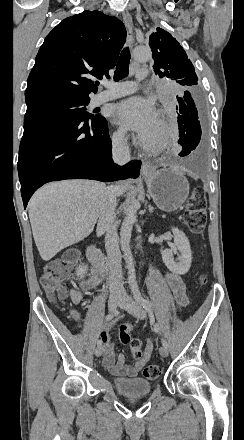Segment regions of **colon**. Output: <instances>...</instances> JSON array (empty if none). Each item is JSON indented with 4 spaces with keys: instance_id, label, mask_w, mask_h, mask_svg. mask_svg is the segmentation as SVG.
<instances>
[{
    "instance_id": "obj_1",
    "label": "colon",
    "mask_w": 244,
    "mask_h": 440,
    "mask_svg": "<svg viewBox=\"0 0 244 440\" xmlns=\"http://www.w3.org/2000/svg\"><path fill=\"white\" fill-rule=\"evenodd\" d=\"M207 220L206 213V199L204 190L197 187L193 190L190 197L189 207L186 210L185 221L192 233H200L203 231ZM66 257L62 260H54L50 262L40 277V284L45 292L52 298L63 299L67 296V291L64 289V281L73 271L74 261L77 259L78 251L75 248H67L65 251ZM200 282H204L201 278ZM71 313L77 312L76 306L70 307ZM124 330H120L119 339L123 344L130 345L131 353L134 359L140 360L142 356L143 343L139 339L130 341L127 331L133 327L129 322L121 326ZM119 327V329H121ZM161 372L160 366L157 364H150L144 368L143 375L148 381H155Z\"/></svg>"
}]
</instances>
